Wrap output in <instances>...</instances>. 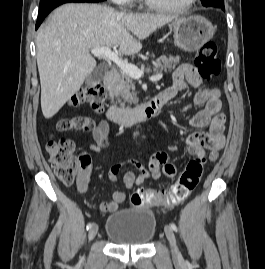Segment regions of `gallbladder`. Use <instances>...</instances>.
Segmentation results:
<instances>
[{"label":"gallbladder","mask_w":265,"mask_h":269,"mask_svg":"<svg viewBox=\"0 0 265 269\" xmlns=\"http://www.w3.org/2000/svg\"><path fill=\"white\" fill-rule=\"evenodd\" d=\"M105 68L103 66L97 67L92 74L88 77L87 83L90 84L93 81L100 80L102 79L104 73H105Z\"/></svg>","instance_id":"1"}]
</instances>
